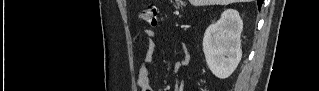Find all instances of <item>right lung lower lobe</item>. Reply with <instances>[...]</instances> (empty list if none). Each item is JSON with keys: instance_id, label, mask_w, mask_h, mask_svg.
Returning <instances> with one entry per match:
<instances>
[{"instance_id": "obj_1", "label": "right lung lower lobe", "mask_w": 319, "mask_h": 91, "mask_svg": "<svg viewBox=\"0 0 319 91\" xmlns=\"http://www.w3.org/2000/svg\"><path fill=\"white\" fill-rule=\"evenodd\" d=\"M263 3V0H257L258 7L260 8Z\"/></svg>"}]
</instances>
